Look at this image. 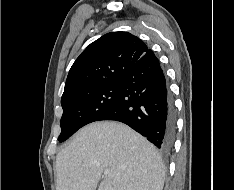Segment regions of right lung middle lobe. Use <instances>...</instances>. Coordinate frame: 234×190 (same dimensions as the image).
<instances>
[{
    "label": "right lung middle lobe",
    "mask_w": 234,
    "mask_h": 190,
    "mask_svg": "<svg viewBox=\"0 0 234 190\" xmlns=\"http://www.w3.org/2000/svg\"><path fill=\"white\" fill-rule=\"evenodd\" d=\"M121 84L115 82L77 93L63 101L62 128L58 140L63 142L81 127L97 121L116 102Z\"/></svg>",
    "instance_id": "obj_1"
}]
</instances>
